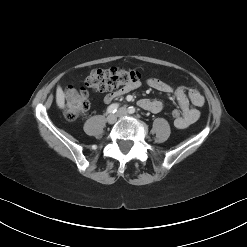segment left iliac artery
Segmentation results:
<instances>
[{
    "instance_id": "left-iliac-artery-1",
    "label": "left iliac artery",
    "mask_w": 247,
    "mask_h": 247,
    "mask_svg": "<svg viewBox=\"0 0 247 247\" xmlns=\"http://www.w3.org/2000/svg\"><path fill=\"white\" fill-rule=\"evenodd\" d=\"M135 108L133 107V106H131V107H129L128 108V112L130 113V114H133V113H135Z\"/></svg>"
}]
</instances>
